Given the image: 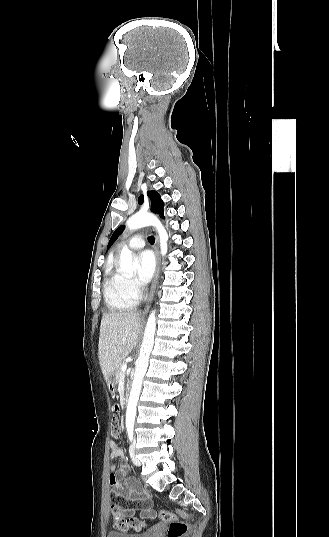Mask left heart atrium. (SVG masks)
Listing matches in <instances>:
<instances>
[{
  "label": "left heart atrium",
  "mask_w": 329,
  "mask_h": 537,
  "mask_svg": "<svg viewBox=\"0 0 329 537\" xmlns=\"http://www.w3.org/2000/svg\"><path fill=\"white\" fill-rule=\"evenodd\" d=\"M155 259L150 251H143L138 256L137 278L141 285H146L153 276Z\"/></svg>",
  "instance_id": "1"
}]
</instances>
